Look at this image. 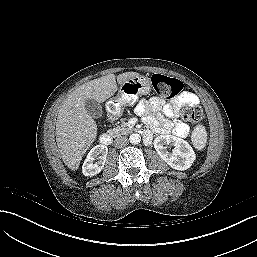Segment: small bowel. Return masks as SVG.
<instances>
[{"mask_svg": "<svg viewBox=\"0 0 257 257\" xmlns=\"http://www.w3.org/2000/svg\"><path fill=\"white\" fill-rule=\"evenodd\" d=\"M198 103L199 100L195 94L185 91L180 96L166 104L157 98L141 100L136 107V111L139 115L144 117L152 132L158 134L172 132L176 136L185 137L189 132V127L180 121L172 122L170 119L177 116L178 110L182 106L192 107L196 106ZM151 111L162 112L165 117L156 119L151 116ZM151 131H147L150 136L146 141L151 139Z\"/></svg>", "mask_w": 257, "mask_h": 257, "instance_id": "obj_1", "label": "small bowel"}]
</instances>
